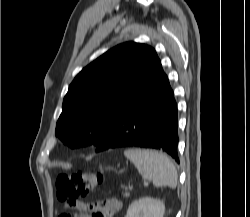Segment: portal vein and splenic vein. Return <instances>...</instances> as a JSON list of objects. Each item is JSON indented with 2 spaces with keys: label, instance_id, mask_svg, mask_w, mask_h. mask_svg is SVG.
<instances>
[{
  "label": "portal vein and splenic vein",
  "instance_id": "portal-vein-and-splenic-vein-1",
  "mask_svg": "<svg viewBox=\"0 0 250 217\" xmlns=\"http://www.w3.org/2000/svg\"><path fill=\"white\" fill-rule=\"evenodd\" d=\"M144 184H147V182H144ZM129 188H131V186L129 185Z\"/></svg>",
  "mask_w": 250,
  "mask_h": 217
}]
</instances>
